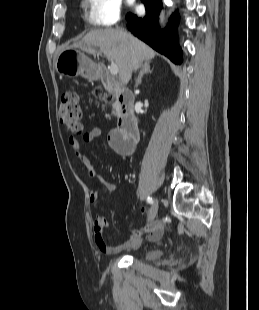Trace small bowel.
<instances>
[{"label": "small bowel", "mask_w": 259, "mask_h": 310, "mask_svg": "<svg viewBox=\"0 0 259 310\" xmlns=\"http://www.w3.org/2000/svg\"><path fill=\"white\" fill-rule=\"evenodd\" d=\"M102 135V129L99 127H94L90 131L85 132L82 135V141L85 143H92ZM68 142L72 148L73 153L84 166L87 175L90 178L97 179L99 183L110 193L114 194L118 190V185L111 183L100 178L96 172L94 165L91 160L85 156L81 151L80 141L74 137H69ZM98 194L93 191L89 195V201L94 203L97 201ZM145 212V208H141V213ZM109 220L101 215H96L93 220V233L95 243L100 252L113 255L124 250H133L139 247L143 239L150 242H156L160 239L163 227L160 222L149 223L142 231H131L129 237L123 242L115 245H109L104 239V229L109 226Z\"/></svg>", "instance_id": "1"}]
</instances>
